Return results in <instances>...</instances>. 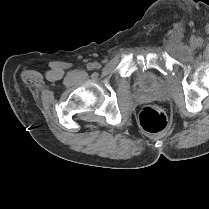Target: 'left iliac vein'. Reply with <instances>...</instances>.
I'll list each match as a JSON object with an SVG mask.
<instances>
[{"label":"left iliac vein","instance_id":"obj_1","mask_svg":"<svg viewBox=\"0 0 209 209\" xmlns=\"http://www.w3.org/2000/svg\"><path fill=\"white\" fill-rule=\"evenodd\" d=\"M192 47H195V43H192V45H191Z\"/></svg>","mask_w":209,"mask_h":209}]
</instances>
